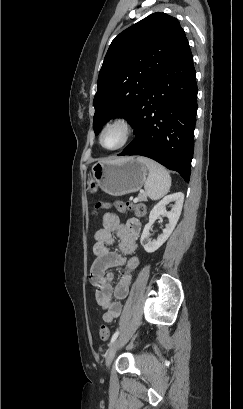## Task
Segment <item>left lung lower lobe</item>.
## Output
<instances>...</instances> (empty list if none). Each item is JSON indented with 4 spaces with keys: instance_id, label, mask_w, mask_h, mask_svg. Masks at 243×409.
<instances>
[{
    "instance_id": "0a47b994",
    "label": "left lung lower lobe",
    "mask_w": 243,
    "mask_h": 409,
    "mask_svg": "<svg viewBox=\"0 0 243 409\" xmlns=\"http://www.w3.org/2000/svg\"><path fill=\"white\" fill-rule=\"evenodd\" d=\"M196 113V76L186 39L152 81L131 125L135 138L119 156L149 157L189 182Z\"/></svg>"
}]
</instances>
